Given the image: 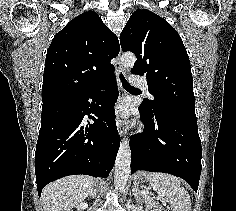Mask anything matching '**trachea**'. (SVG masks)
<instances>
[{"instance_id":"1","label":"trachea","mask_w":236,"mask_h":211,"mask_svg":"<svg viewBox=\"0 0 236 211\" xmlns=\"http://www.w3.org/2000/svg\"><path fill=\"white\" fill-rule=\"evenodd\" d=\"M120 79H121V82H122V85L125 89L127 90H134L136 88H134L133 86H131L127 81L126 79L124 78V76L121 74L120 75Z\"/></svg>"}]
</instances>
